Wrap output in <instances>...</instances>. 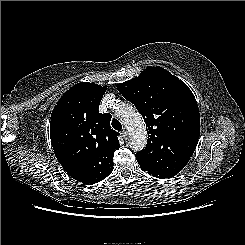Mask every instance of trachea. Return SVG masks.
Masks as SVG:
<instances>
[{
    "instance_id": "obj_1",
    "label": "trachea",
    "mask_w": 245,
    "mask_h": 245,
    "mask_svg": "<svg viewBox=\"0 0 245 245\" xmlns=\"http://www.w3.org/2000/svg\"><path fill=\"white\" fill-rule=\"evenodd\" d=\"M112 127L115 130H118V131H121L122 130V125H121V123L117 119H113L112 120Z\"/></svg>"
}]
</instances>
